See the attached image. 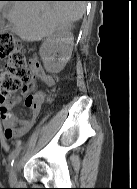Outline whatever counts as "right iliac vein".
Returning <instances> with one entry per match:
<instances>
[{
    "label": "right iliac vein",
    "instance_id": "right-iliac-vein-1",
    "mask_svg": "<svg viewBox=\"0 0 137 189\" xmlns=\"http://www.w3.org/2000/svg\"><path fill=\"white\" fill-rule=\"evenodd\" d=\"M17 168H18V160H16L14 166L12 167L11 171H10V183H15L16 181V176H17Z\"/></svg>",
    "mask_w": 137,
    "mask_h": 189
}]
</instances>
